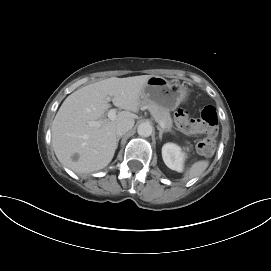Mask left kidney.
<instances>
[{
    "label": "left kidney",
    "instance_id": "1",
    "mask_svg": "<svg viewBox=\"0 0 271 271\" xmlns=\"http://www.w3.org/2000/svg\"><path fill=\"white\" fill-rule=\"evenodd\" d=\"M186 154L174 143H166L162 147V158L164 163L171 170L182 172Z\"/></svg>",
    "mask_w": 271,
    "mask_h": 271
}]
</instances>
